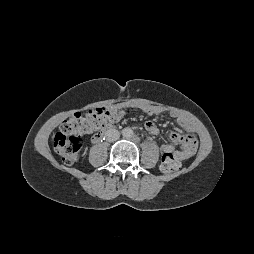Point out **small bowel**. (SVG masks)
<instances>
[{
	"label": "small bowel",
	"mask_w": 254,
	"mask_h": 254,
	"mask_svg": "<svg viewBox=\"0 0 254 254\" xmlns=\"http://www.w3.org/2000/svg\"><path fill=\"white\" fill-rule=\"evenodd\" d=\"M117 109H121L120 106H115ZM142 110L149 114L157 113V109L148 107V106H141ZM120 119V116L117 117L115 123ZM178 124L180 127L185 129L188 133L185 135H181L178 133H171L170 138L172 143H162L160 148L164 155L170 154L176 160L182 161L192 157L196 150H197V137L194 133V129L190 121L186 118L180 117L178 118ZM146 130L152 134L157 135L159 130L157 125L152 121L145 122ZM177 144H181V150H176Z\"/></svg>",
	"instance_id": "obj_1"
}]
</instances>
